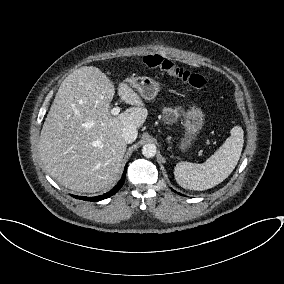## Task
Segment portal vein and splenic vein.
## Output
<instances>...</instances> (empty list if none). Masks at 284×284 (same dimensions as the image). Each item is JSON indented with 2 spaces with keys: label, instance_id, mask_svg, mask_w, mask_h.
Masks as SVG:
<instances>
[{
  "label": "portal vein and splenic vein",
  "instance_id": "18ae733b",
  "mask_svg": "<svg viewBox=\"0 0 284 284\" xmlns=\"http://www.w3.org/2000/svg\"><path fill=\"white\" fill-rule=\"evenodd\" d=\"M119 112H120V107H114V108L111 110V114H112L113 116L118 115Z\"/></svg>",
  "mask_w": 284,
  "mask_h": 284
}]
</instances>
